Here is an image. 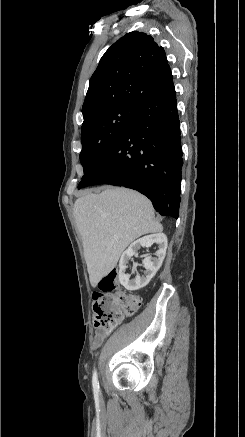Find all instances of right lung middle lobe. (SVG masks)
<instances>
[{"instance_id":"1","label":"right lung middle lobe","mask_w":245,"mask_h":437,"mask_svg":"<svg viewBox=\"0 0 245 437\" xmlns=\"http://www.w3.org/2000/svg\"><path fill=\"white\" fill-rule=\"evenodd\" d=\"M137 105L118 102L103 106L84 118L81 128L82 181L111 152L134 116Z\"/></svg>"}]
</instances>
